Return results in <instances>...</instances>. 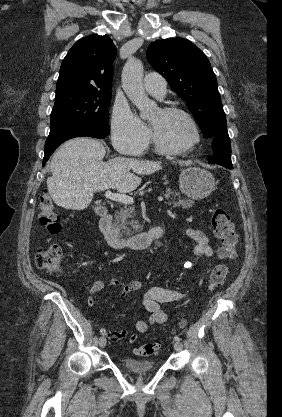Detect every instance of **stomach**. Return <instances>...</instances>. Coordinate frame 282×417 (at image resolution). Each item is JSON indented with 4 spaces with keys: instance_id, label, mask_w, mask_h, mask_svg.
Here are the masks:
<instances>
[{
    "instance_id": "stomach-1",
    "label": "stomach",
    "mask_w": 282,
    "mask_h": 417,
    "mask_svg": "<svg viewBox=\"0 0 282 417\" xmlns=\"http://www.w3.org/2000/svg\"><path fill=\"white\" fill-rule=\"evenodd\" d=\"M181 192H184L189 198H205L209 196L212 190H215L216 180L205 168H197V166H189L183 168L179 176Z\"/></svg>"
}]
</instances>
